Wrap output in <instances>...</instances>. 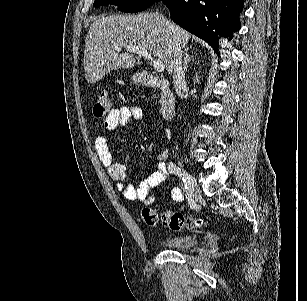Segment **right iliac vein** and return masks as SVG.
<instances>
[{"label":"right iliac vein","instance_id":"obj_1","mask_svg":"<svg viewBox=\"0 0 307 301\" xmlns=\"http://www.w3.org/2000/svg\"><path fill=\"white\" fill-rule=\"evenodd\" d=\"M187 181V191L191 197L197 199L201 192L196 184V181L190 172L186 173Z\"/></svg>","mask_w":307,"mask_h":301}]
</instances>
